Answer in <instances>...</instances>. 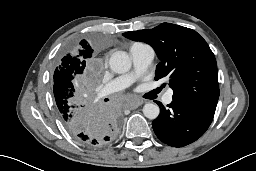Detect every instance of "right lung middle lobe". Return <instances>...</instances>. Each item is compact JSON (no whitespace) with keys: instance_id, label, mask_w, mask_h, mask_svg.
I'll use <instances>...</instances> for the list:
<instances>
[{"instance_id":"dd1d6c3e","label":"right lung middle lobe","mask_w":256,"mask_h":171,"mask_svg":"<svg viewBox=\"0 0 256 171\" xmlns=\"http://www.w3.org/2000/svg\"><path fill=\"white\" fill-rule=\"evenodd\" d=\"M84 63H80L72 55L68 54L61 59L53 77V89L55 101H65V104H76L88 98L87 88L81 87L78 75L83 73Z\"/></svg>"}]
</instances>
